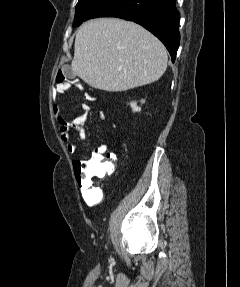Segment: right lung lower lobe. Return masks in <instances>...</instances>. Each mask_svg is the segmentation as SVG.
Instances as JSON below:
<instances>
[{
	"label": "right lung lower lobe",
	"mask_w": 240,
	"mask_h": 287,
	"mask_svg": "<svg viewBox=\"0 0 240 287\" xmlns=\"http://www.w3.org/2000/svg\"><path fill=\"white\" fill-rule=\"evenodd\" d=\"M96 17H118L142 25L162 41L175 61L180 42L175 0H108L92 18Z\"/></svg>",
	"instance_id": "98d812e1"
}]
</instances>
